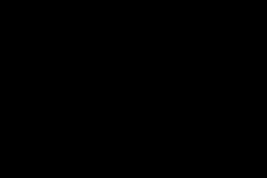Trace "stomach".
<instances>
[{
  "mask_svg": "<svg viewBox=\"0 0 267 178\" xmlns=\"http://www.w3.org/2000/svg\"><path fill=\"white\" fill-rule=\"evenodd\" d=\"M150 35L159 45H164L168 40V35L160 30H153Z\"/></svg>",
  "mask_w": 267,
  "mask_h": 178,
  "instance_id": "0dacf381",
  "label": "stomach"
}]
</instances>
